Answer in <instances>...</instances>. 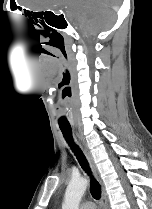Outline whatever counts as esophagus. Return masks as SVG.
I'll return each instance as SVG.
<instances>
[{"instance_id": "1", "label": "esophagus", "mask_w": 152, "mask_h": 209, "mask_svg": "<svg viewBox=\"0 0 152 209\" xmlns=\"http://www.w3.org/2000/svg\"><path fill=\"white\" fill-rule=\"evenodd\" d=\"M81 147H82V150L90 164V167L95 175V177L97 178V180L99 181L100 185H101V194H102V206H103V209H109V202H108V198H107V194H106V191H105V187H104V184L101 180V177H100V174L97 170V167L94 163V160H93V157H92V154L89 150V148L87 147V145L85 144L84 141L81 140Z\"/></svg>"}]
</instances>
